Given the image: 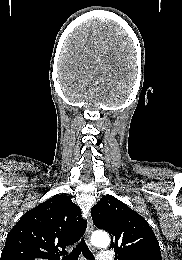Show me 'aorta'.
Segmentation results:
<instances>
[{"instance_id":"obj_1","label":"aorta","mask_w":182,"mask_h":260,"mask_svg":"<svg viewBox=\"0 0 182 260\" xmlns=\"http://www.w3.org/2000/svg\"><path fill=\"white\" fill-rule=\"evenodd\" d=\"M91 243L99 248H106L110 244L109 235L106 232H96L91 237Z\"/></svg>"}]
</instances>
